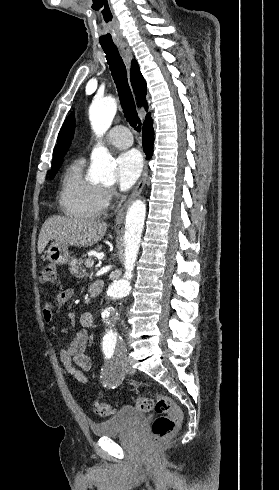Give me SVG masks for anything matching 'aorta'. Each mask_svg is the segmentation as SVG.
Instances as JSON below:
<instances>
[{
    "label": "aorta",
    "instance_id": "obj_1",
    "mask_svg": "<svg viewBox=\"0 0 279 490\" xmlns=\"http://www.w3.org/2000/svg\"><path fill=\"white\" fill-rule=\"evenodd\" d=\"M117 111L113 98H103L93 102L89 108V119L97 137H102L112 124ZM115 160L103 146L94 148L91 154L90 176L95 182L113 183L115 181ZM146 216V205L136 200L128 209L125 219V257L124 278L114 281L107 289V298L116 299L128 295L131 291L129 279L140 248V241ZM103 344H118L120 337L115 328V316L112 307L105 303L101 311Z\"/></svg>",
    "mask_w": 279,
    "mask_h": 490
}]
</instances>
